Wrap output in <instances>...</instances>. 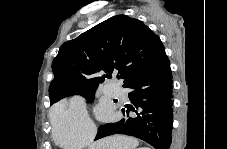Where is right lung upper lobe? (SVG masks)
I'll return each mask as SVG.
<instances>
[{
	"label": "right lung upper lobe",
	"mask_w": 227,
	"mask_h": 149,
	"mask_svg": "<svg viewBox=\"0 0 227 149\" xmlns=\"http://www.w3.org/2000/svg\"><path fill=\"white\" fill-rule=\"evenodd\" d=\"M166 57L159 36L142 21L126 15L111 17L60 47L52 63L51 103L74 94L85 95L113 71L126 83ZM102 71L107 75L100 76Z\"/></svg>",
	"instance_id": "cb5924a9"
}]
</instances>
